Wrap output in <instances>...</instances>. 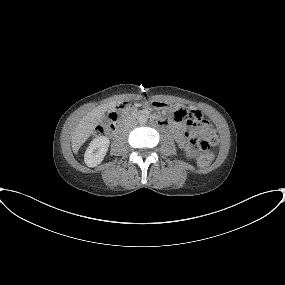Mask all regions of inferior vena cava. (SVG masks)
Instances as JSON below:
<instances>
[{
    "instance_id": "1",
    "label": "inferior vena cava",
    "mask_w": 285,
    "mask_h": 285,
    "mask_svg": "<svg viewBox=\"0 0 285 285\" xmlns=\"http://www.w3.org/2000/svg\"><path fill=\"white\" fill-rule=\"evenodd\" d=\"M135 125H136V123L134 122V123L128 125V126H127V129L133 128Z\"/></svg>"
}]
</instances>
